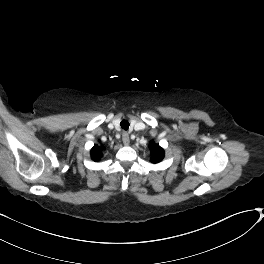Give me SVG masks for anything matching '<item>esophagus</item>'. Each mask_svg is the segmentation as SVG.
<instances>
[{
	"instance_id": "1",
	"label": "esophagus",
	"mask_w": 264,
	"mask_h": 264,
	"mask_svg": "<svg viewBox=\"0 0 264 264\" xmlns=\"http://www.w3.org/2000/svg\"><path fill=\"white\" fill-rule=\"evenodd\" d=\"M122 141H123L124 145H126V146H128L130 144V138H129V134L127 132L122 133Z\"/></svg>"
}]
</instances>
